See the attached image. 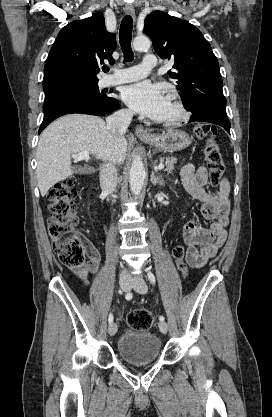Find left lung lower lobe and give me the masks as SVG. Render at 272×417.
I'll list each match as a JSON object with an SVG mask.
<instances>
[{
	"label": "left lung lower lobe",
	"mask_w": 272,
	"mask_h": 417,
	"mask_svg": "<svg viewBox=\"0 0 272 417\" xmlns=\"http://www.w3.org/2000/svg\"><path fill=\"white\" fill-rule=\"evenodd\" d=\"M200 121V122H210L222 126L228 133H230V122L226 118L219 116H212L210 114L196 115L193 114L190 118V122Z\"/></svg>",
	"instance_id": "obj_1"
}]
</instances>
